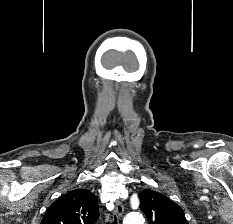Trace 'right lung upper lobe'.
Returning a JSON list of instances; mask_svg holds the SVG:
<instances>
[{
	"label": "right lung upper lobe",
	"instance_id": "right-lung-upper-lobe-1",
	"mask_svg": "<svg viewBox=\"0 0 233 224\" xmlns=\"http://www.w3.org/2000/svg\"><path fill=\"white\" fill-rule=\"evenodd\" d=\"M95 195L86 189L70 191L47 210L41 224H95L99 218Z\"/></svg>",
	"mask_w": 233,
	"mask_h": 224
}]
</instances>
